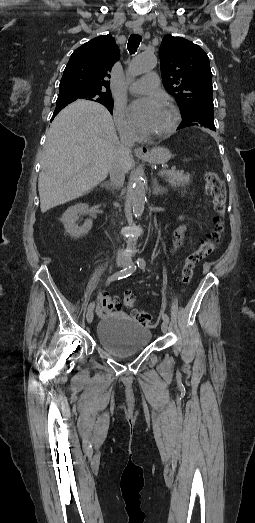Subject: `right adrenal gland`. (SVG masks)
I'll return each instance as SVG.
<instances>
[{
    "instance_id": "right-adrenal-gland-1",
    "label": "right adrenal gland",
    "mask_w": 255,
    "mask_h": 523,
    "mask_svg": "<svg viewBox=\"0 0 255 523\" xmlns=\"http://www.w3.org/2000/svg\"><path fill=\"white\" fill-rule=\"evenodd\" d=\"M101 188H106V190H112V184L111 182H105V184H101Z\"/></svg>"
}]
</instances>
